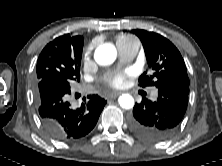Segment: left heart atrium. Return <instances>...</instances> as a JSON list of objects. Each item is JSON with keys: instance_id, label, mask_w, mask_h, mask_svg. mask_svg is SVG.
Masks as SVG:
<instances>
[{"instance_id": "left-heart-atrium-1", "label": "left heart atrium", "mask_w": 222, "mask_h": 166, "mask_svg": "<svg viewBox=\"0 0 222 166\" xmlns=\"http://www.w3.org/2000/svg\"><path fill=\"white\" fill-rule=\"evenodd\" d=\"M127 75V72L115 73L108 78L107 83L112 87H120L124 84Z\"/></svg>"}]
</instances>
